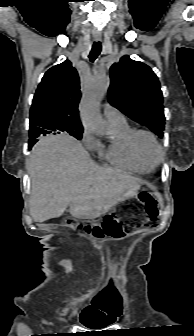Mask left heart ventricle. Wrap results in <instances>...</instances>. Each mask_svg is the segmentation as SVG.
<instances>
[{
	"label": "left heart ventricle",
	"mask_w": 194,
	"mask_h": 336,
	"mask_svg": "<svg viewBox=\"0 0 194 336\" xmlns=\"http://www.w3.org/2000/svg\"><path fill=\"white\" fill-rule=\"evenodd\" d=\"M139 149L142 156L150 162L155 161L158 158V153L155 144L147 136H141L139 138Z\"/></svg>",
	"instance_id": "left-heart-ventricle-1"
}]
</instances>
